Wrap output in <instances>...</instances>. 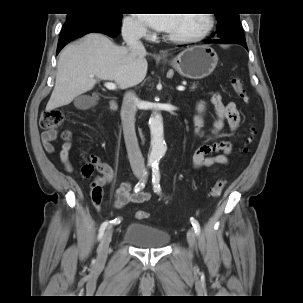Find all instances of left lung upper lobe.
Masks as SVG:
<instances>
[{
  "instance_id": "5c2ea615",
  "label": "left lung upper lobe",
  "mask_w": 303,
  "mask_h": 303,
  "mask_svg": "<svg viewBox=\"0 0 303 303\" xmlns=\"http://www.w3.org/2000/svg\"><path fill=\"white\" fill-rule=\"evenodd\" d=\"M216 16L218 19L217 31L220 37L231 41H245L238 13H222L216 14Z\"/></svg>"
}]
</instances>
